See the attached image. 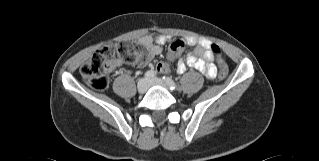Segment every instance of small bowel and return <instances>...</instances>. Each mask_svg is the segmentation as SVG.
<instances>
[{"instance_id": "c3829d8e", "label": "small bowel", "mask_w": 319, "mask_h": 161, "mask_svg": "<svg viewBox=\"0 0 319 161\" xmlns=\"http://www.w3.org/2000/svg\"><path fill=\"white\" fill-rule=\"evenodd\" d=\"M188 44L195 45L193 52L188 53L185 59H181L177 63V72L183 74L187 67H191L202 72L209 80H213L217 76V63L214 62V53L211 49V43L206 40H199L195 37L186 38ZM162 36L148 35L140 39V44L146 48L149 57H154L161 53L162 49L159 43L163 42ZM202 57V58H200ZM122 64L120 60H116L113 68L119 67ZM162 65V66H161ZM169 69V65L165 62H160L157 65V70L165 72Z\"/></svg>"}]
</instances>
